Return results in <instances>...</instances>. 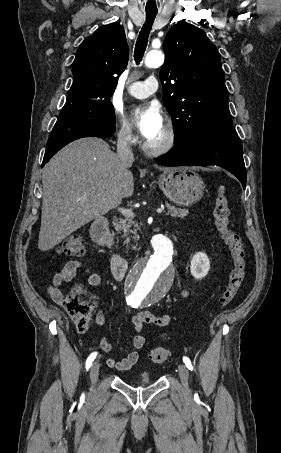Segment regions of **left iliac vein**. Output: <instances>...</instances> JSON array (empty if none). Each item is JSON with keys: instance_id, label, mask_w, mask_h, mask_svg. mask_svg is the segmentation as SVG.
Returning <instances> with one entry per match:
<instances>
[{"instance_id": "left-iliac-vein-1", "label": "left iliac vein", "mask_w": 281, "mask_h": 453, "mask_svg": "<svg viewBox=\"0 0 281 453\" xmlns=\"http://www.w3.org/2000/svg\"><path fill=\"white\" fill-rule=\"evenodd\" d=\"M178 368H179V374L181 375L180 378L182 380L181 387L183 388L184 393L186 395H189L191 393V390H190V387L188 386V384H189L188 369L183 363H180L178 365Z\"/></svg>"}]
</instances>
